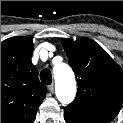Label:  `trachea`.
<instances>
[{"label":"trachea","instance_id":"obj_1","mask_svg":"<svg viewBox=\"0 0 123 123\" xmlns=\"http://www.w3.org/2000/svg\"><path fill=\"white\" fill-rule=\"evenodd\" d=\"M40 79H41V82L46 84V85L51 84L52 74H51L50 70L49 69L42 70L40 73Z\"/></svg>","mask_w":123,"mask_h":123}]
</instances>
